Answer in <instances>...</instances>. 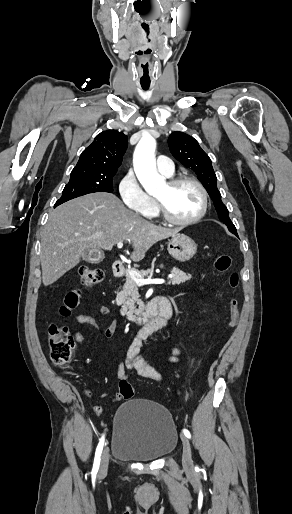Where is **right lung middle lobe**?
<instances>
[{"label":"right lung middle lobe","instance_id":"obj_1","mask_svg":"<svg viewBox=\"0 0 292 514\" xmlns=\"http://www.w3.org/2000/svg\"><path fill=\"white\" fill-rule=\"evenodd\" d=\"M113 177L106 175L71 174L61 198L55 203L58 206L73 198L94 192H113Z\"/></svg>","mask_w":292,"mask_h":514}]
</instances>
